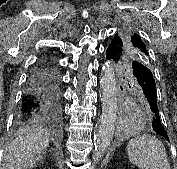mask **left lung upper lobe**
<instances>
[{"label":"left lung upper lobe","instance_id":"left-lung-upper-lobe-1","mask_svg":"<svg viewBox=\"0 0 177 169\" xmlns=\"http://www.w3.org/2000/svg\"><path fill=\"white\" fill-rule=\"evenodd\" d=\"M111 43H115L119 48L118 64L137 60L151 67L149 53L142 38L131 29H124L122 33H116ZM141 91L140 89H138Z\"/></svg>","mask_w":177,"mask_h":169}]
</instances>
